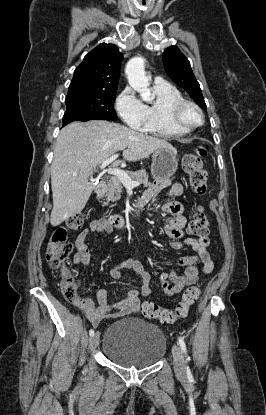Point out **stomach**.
Returning a JSON list of instances; mask_svg holds the SVG:
<instances>
[{"label":"stomach","mask_w":266,"mask_h":415,"mask_svg":"<svg viewBox=\"0 0 266 415\" xmlns=\"http://www.w3.org/2000/svg\"><path fill=\"white\" fill-rule=\"evenodd\" d=\"M177 152L162 147L152 153L151 174L155 181L171 177L177 170Z\"/></svg>","instance_id":"obj_1"}]
</instances>
